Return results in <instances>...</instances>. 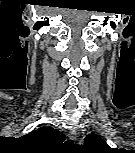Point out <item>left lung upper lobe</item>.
Wrapping results in <instances>:
<instances>
[{"instance_id":"1","label":"left lung upper lobe","mask_w":135,"mask_h":153,"mask_svg":"<svg viewBox=\"0 0 135 153\" xmlns=\"http://www.w3.org/2000/svg\"><path fill=\"white\" fill-rule=\"evenodd\" d=\"M84 146L96 152H105L110 149L108 144L96 134L87 135L84 139Z\"/></svg>"}]
</instances>
